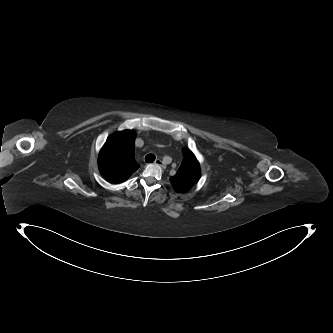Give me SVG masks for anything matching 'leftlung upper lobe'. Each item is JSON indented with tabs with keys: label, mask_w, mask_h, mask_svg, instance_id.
Segmentation results:
<instances>
[{
	"label": "left lung upper lobe",
	"mask_w": 333,
	"mask_h": 333,
	"mask_svg": "<svg viewBox=\"0 0 333 333\" xmlns=\"http://www.w3.org/2000/svg\"><path fill=\"white\" fill-rule=\"evenodd\" d=\"M183 160L177 173L170 177L171 185L178 193H186L200 179V165L195 155L183 148Z\"/></svg>",
	"instance_id": "5c2ea615"
}]
</instances>
